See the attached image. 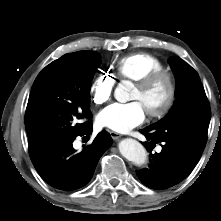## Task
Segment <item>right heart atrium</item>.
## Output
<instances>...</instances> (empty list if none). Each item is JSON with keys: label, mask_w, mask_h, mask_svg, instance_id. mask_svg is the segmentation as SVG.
Segmentation results:
<instances>
[{"label": "right heart atrium", "mask_w": 221, "mask_h": 221, "mask_svg": "<svg viewBox=\"0 0 221 221\" xmlns=\"http://www.w3.org/2000/svg\"><path fill=\"white\" fill-rule=\"evenodd\" d=\"M114 79L107 73L98 74L90 84L91 100L96 105H102L111 99L114 89Z\"/></svg>", "instance_id": "1"}]
</instances>
